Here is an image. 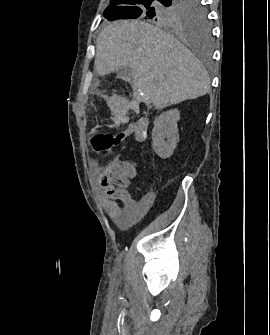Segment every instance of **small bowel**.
I'll use <instances>...</instances> for the list:
<instances>
[{
	"label": "small bowel",
	"instance_id": "obj_1",
	"mask_svg": "<svg viewBox=\"0 0 270 335\" xmlns=\"http://www.w3.org/2000/svg\"><path fill=\"white\" fill-rule=\"evenodd\" d=\"M147 121L138 120L134 125L139 140L147 137ZM145 150V145H139ZM126 165V166H119ZM94 169H100V201L111 220L120 227H127L139 216L137 201L129 192L130 182L134 178L133 169H143V162H133L132 158H97Z\"/></svg>",
	"mask_w": 270,
	"mask_h": 335
}]
</instances>
